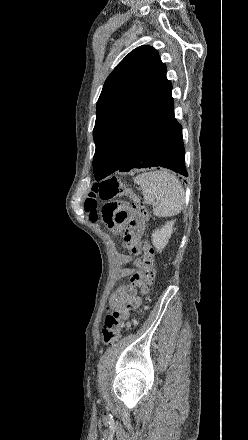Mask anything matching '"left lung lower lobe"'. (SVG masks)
<instances>
[{"instance_id": "left-lung-lower-lobe-1", "label": "left lung lower lobe", "mask_w": 248, "mask_h": 440, "mask_svg": "<svg viewBox=\"0 0 248 440\" xmlns=\"http://www.w3.org/2000/svg\"><path fill=\"white\" fill-rule=\"evenodd\" d=\"M152 166H161L188 176L182 128L176 121L174 112L127 152L116 171L128 172L134 168Z\"/></svg>"}]
</instances>
